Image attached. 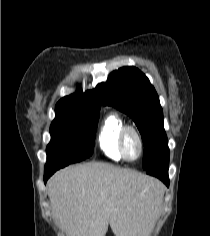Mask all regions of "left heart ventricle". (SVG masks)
<instances>
[{
	"mask_svg": "<svg viewBox=\"0 0 210 236\" xmlns=\"http://www.w3.org/2000/svg\"><path fill=\"white\" fill-rule=\"evenodd\" d=\"M125 151L129 158H135L138 155L139 143L132 133H129L125 138Z\"/></svg>",
	"mask_w": 210,
	"mask_h": 236,
	"instance_id": "obj_1",
	"label": "left heart ventricle"
}]
</instances>
